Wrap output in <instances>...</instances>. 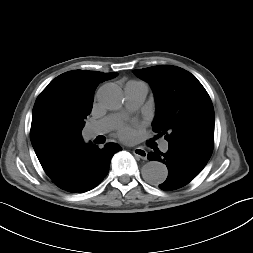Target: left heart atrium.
<instances>
[{
  "mask_svg": "<svg viewBox=\"0 0 253 253\" xmlns=\"http://www.w3.org/2000/svg\"><path fill=\"white\" fill-rule=\"evenodd\" d=\"M118 135L124 140H130L134 136V132L131 127L125 126L119 129Z\"/></svg>",
  "mask_w": 253,
  "mask_h": 253,
  "instance_id": "39dd6f15",
  "label": "left heart atrium"
}]
</instances>
